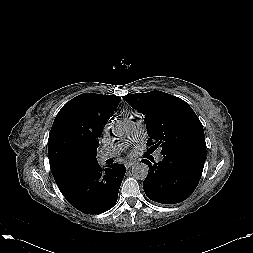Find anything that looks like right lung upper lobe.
I'll return each instance as SVG.
<instances>
[{
    "label": "right lung upper lobe",
    "mask_w": 253,
    "mask_h": 253,
    "mask_svg": "<svg viewBox=\"0 0 253 253\" xmlns=\"http://www.w3.org/2000/svg\"><path fill=\"white\" fill-rule=\"evenodd\" d=\"M121 98L81 94L58 112L48 139L49 163L55 181L95 161L102 129Z\"/></svg>",
    "instance_id": "obj_1"
}]
</instances>
